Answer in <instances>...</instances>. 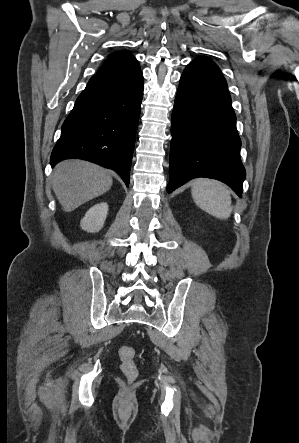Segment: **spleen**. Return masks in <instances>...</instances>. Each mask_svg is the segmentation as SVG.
I'll return each instance as SVG.
<instances>
[{"label":"spleen","mask_w":299,"mask_h":443,"mask_svg":"<svg viewBox=\"0 0 299 443\" xmlns=\"http://www.w3.org/2000/svg\"><path fill=\"white\" fill-rule=\"evenodd\" d=\"M191 192L195 203L207 213L220 219L230 216V192L222 183L198 179L193 183Z\"/></svg>","instance_id":"1"}]
</instances>
